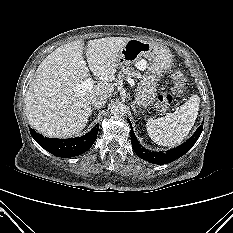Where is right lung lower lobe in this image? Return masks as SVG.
Instances as JSON below:
<instances>
[{
	"mask_svg": "<svg viewBox=\"0 0 233 233\" xmlns=\"http://www.w3.org/2000/svg\"><path fill=\"white\" fill-rule=\"evenodd\" d=\"M99 124H96L93 129L81 137L58 139L47 138L31 129V135L36 142L45 150L56 157L70 158L83 154L94 144Z\"/></svg>",
	"mask_w": 233,
	"mask_h": 233,
	"instance_id": "1",
	"label": "right lung lower lobe"
}]
</instances>
